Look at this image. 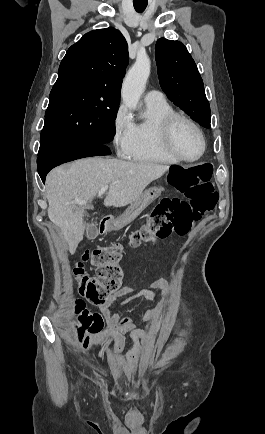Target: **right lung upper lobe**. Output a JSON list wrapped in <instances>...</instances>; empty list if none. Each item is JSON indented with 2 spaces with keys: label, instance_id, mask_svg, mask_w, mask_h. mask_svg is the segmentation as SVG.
I'll list each match as a JSON object with an SVG mask.
<instances>
[{
  "label": "right lung upper lobe",
  "instance_id": "obj_1",
  "mask_svg": "<svg viewBox=\"0 0 265 434\" xmlns=\"http://www.w3.org/2000/svg\"><path fill=\"white\" fill-rule=\"evenodd\" d=\"M127 65L128 46L120 31L93 30L68 49L56 82L86 80L120 93Z\"/></svg>",
  "mask_w": 265,
  "mask_h": 434
}]
</instances>
